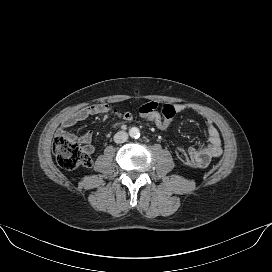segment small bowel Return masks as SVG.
I'll return each mask as SVG.
<instances>
[{
  "label": "small bowel",
  "mask_w": 272,
  "mask_h": 272,
  "mask_svg": "<svg viewBox=\"0 0 272 272\" xmlns=\"http://www.w3.org/2000/svg\"><path fill=\"white\" fill-rule=\"evenodd\" d=\"M142 107H154L159 108V104L154 101L147 102L142 105ZM177 113H182L189 108L185 104L178 103L175 105ZM111 113L116 115L118 118L125 121L135 120L133 112H125L121 113L117 110L113 109L111 106L105 103H97L87 107H84L71 115L67 116L61 122V125L57 131L58 135H63L69 137L77 142H80L85 145V149L88 153H92L94 151V147L92 145L93 133L91 131H87L81 135H73L68 132V129L75 126L79 122H82L88 119L91 116ZM199 116L205 121L207 125V135L208 142L200 147L190 146L187 150L189 156L197 163L198 167L206 166L213 158L218 157L222 154V140L220 137V133L214 124L213 120L209 118L207 115L202 113H198Z\"/></svg>",
  "instance_id": "c3829d8e"
}]
</instances>
